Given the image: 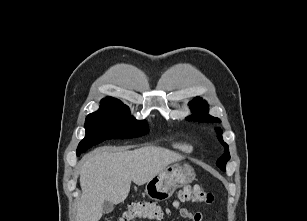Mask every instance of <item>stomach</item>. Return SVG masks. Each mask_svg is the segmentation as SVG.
<instances>
[{"mask_svg": "<svg viewBox=\"0 0 307 221\" xmlns=\"http://www.w3.org/2000/svg\"><path fill=\"white\" fill-rule=\"evenodd\" d=\"M195 172L188 164H172L164 168L145 187L147 196L153 200L168 199L178 187L191 183Z\"/></svg>", "mask_w": 307, "mask_h": 221, "instance_id": "0dacf381", "label": "stomach"}]
</instances>
